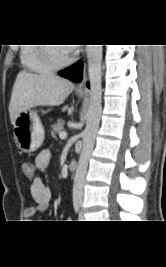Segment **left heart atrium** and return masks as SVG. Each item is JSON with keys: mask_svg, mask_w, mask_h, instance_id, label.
I'll use <instances>...</instances> for the list:
<instances>
[{"mask_svg": "<svg viewBox=\"0 0 166 267\" xmlns=\"http://www.w3.org/2000/svg\"><path fill=\"white\" fill-rule=\"evenodd\" d=\"M70 51H72L74 48L73 47H70V48H68Z\"/></svg>", "mask_w": 166, "mask_h": 267, "instance_id": "obj_1", "label": "left heart atrium"}]
</instances>
